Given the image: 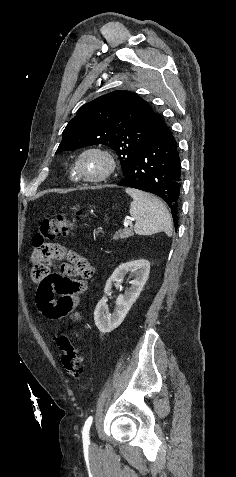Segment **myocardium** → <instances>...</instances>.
Instances as JSON below:
<instances>
[{
    "label": "myocardium",
    "mask_w": 236,
    "mask_h": 477,
    "mask_svg": "<svg viewBox=\"0 0 236 477\" xmlns=\"http://www.w3.org/2000/svg\"><path fill=\"white\" fill-rule=\"evenodd\" d=\"M89 154H96L102 157L106 162V169L96 176H87L82 173L81 170V161L82 159ZM116 169V161L114 156L107 150L99 147H90L83 150L76 159L74 171L79 180L89 183H99L108 179Z\"/></svg>",
    "instance_id": "obj_1"
}]
</instances>
